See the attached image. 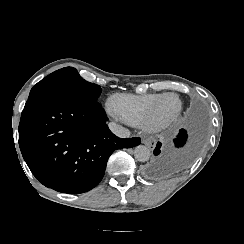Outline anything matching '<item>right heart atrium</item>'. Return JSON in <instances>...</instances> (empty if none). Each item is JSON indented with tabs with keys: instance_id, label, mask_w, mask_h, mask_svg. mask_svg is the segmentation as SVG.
Returning <instances> with one entry per match:
<instances>
[{
	"instance_id": "1",
	"label": "right heart atrium",
	"mask_w": 244,
	"mask_h": 244,
	"mask_svg": "<svg viewBox=\"0 0 244 244\" xmlns=\"http://www.w3.org/2000/svg\"><path fill=\"white\" fill-rule=\"evenodd\" d=\"M109 114L110 115H113L114 114V111H113V108H112V103H111L110 108H109Z\"/></svg>"
}]
</instances>
